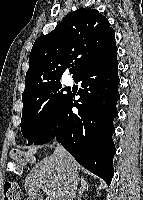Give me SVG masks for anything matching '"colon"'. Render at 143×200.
<instances>
[{
  "instance_id": "5ec220e1",
  "label": "colon",
  "mask_w": 143,
  "mask_h": 200,
  "mask_svg": "<svg viewBox=\"0 0 143 200\" xmlns=\"http://www.w3.org/2000/svg\"><path fill=\"white\" fill-rule=\"evenodd\" d=\"M33 160V156L15 151L12 153V162L9 165V171L15 175H20L22 167ZM20 188L15 181H7L4 186V200H19Z\"/></svg>"
}]
</instances>
